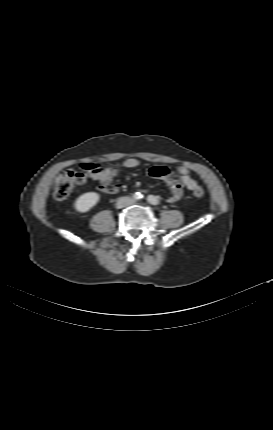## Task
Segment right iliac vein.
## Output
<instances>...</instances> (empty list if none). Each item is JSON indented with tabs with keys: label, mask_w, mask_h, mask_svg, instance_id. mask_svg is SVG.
I'll use <instances>...</instances> for the list:
<instances>
[{
	"label": "right iliac vein",
	"mask_w": 273,
	"mask_h": 430,
	"mask_svg": "<svg viewBox=\"0 0 273 430\" xmlns=\"http://www.w3.org/2000/svg\"><path fill=\"white\" fill-rule=\"evenodd\" d=\"M125 204H126V200H124V199H120V200H118V201H117V203H116V208H117V209H120V208L124 207V206H125Z\"/></svg>",
	"instance_id": "63e3f726"
}]
</instances>
